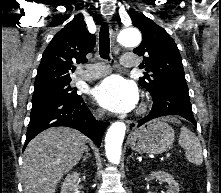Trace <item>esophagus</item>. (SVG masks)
<instances>
[{"label":"esophagus","mask_w":221,"mask_h":193,"mask_svg":"<svg viewBox=\"0 0 221 193\" xmlns=\"http://www.w3.org/2000/svg\"><path fill=\"white\" fill-rule=\"evenodd\" d=\"M110 34H111V38H112V42H113V51H114L115 54H118L119 47L116 45V37H117V34H118V26L115 22H111V24H110ZM128 126L131 127V128H135L136 123L129 121Z\"/></svg>","instance_id":"34e87169"}]
</instances>
